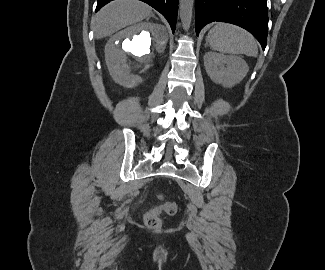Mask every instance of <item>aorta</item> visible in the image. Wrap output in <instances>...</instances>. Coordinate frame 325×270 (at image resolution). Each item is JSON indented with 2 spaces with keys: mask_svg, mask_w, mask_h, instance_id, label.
<instances>
[{
  "mask_svg": "<svg viewBox=\"0 0 325 270\" xmlns=\"http://www.w3.org/2000/svg\"><path fill=\"white\" fill-rule=\"evenodd\" d=\"M193 4H194V0L179 1L180 19H181L182 27L185 31H188L191 25Z\"/></svg>",
  "mask_w": 325,
  "mask_h": 270,
  "instance_id": "762f6f07",
  "label": "aorta"
}]
</instances>
